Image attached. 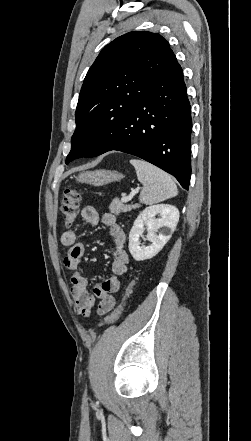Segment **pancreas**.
<instances>
[{"label": "pancreas", "instance_id": "pancreas-1", "mask_svg": "<svg viewBox=\"0 0 251 441\" xmlns=\"http://www.w3.org/2000/svg\"><path fill=\"white\" fill-rule=\"evenodd\" d=\"M139 205L135 204V205H127L124 204L122 201H120L118 198H115L112 200L110 206H109V210L111 213L115 214V215H119L122 212H129L132 209L138 208Z\"/></svg>", "mask_w": 251, "mask_h": 441}]
</instances>
